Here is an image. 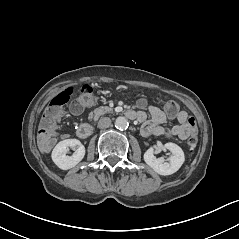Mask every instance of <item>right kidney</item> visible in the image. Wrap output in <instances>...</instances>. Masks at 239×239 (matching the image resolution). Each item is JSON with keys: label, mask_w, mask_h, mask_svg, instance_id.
Listing matches in <instances>:
<instances>
[{"label": "right kidney", "mask_w": 239, "mask_h": 239, "mask_svg": "<svg viewBox=\"0 0 239 239\" xmlns=\"http://www.w3.org/2000/svg\"><path fill=\"white\" fill-rule=\"evenodd\" d=\"M73 148L75 153L68 157L64 156ZM85 156V148L77 139H68L56 145L53 149V162L60 167L62 171H71L78 165Z\"/></svg>", "instance_id": "ca27d5eb"}]
</instances>
